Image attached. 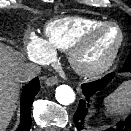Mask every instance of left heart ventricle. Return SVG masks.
Segmentation results:
<instances>
[{"label": "left heart ventricle", "instance_id": "b2bd125f", "mask_svg": "<svg viewBox=\"0 0 131 131\" xmlns=\"http://www.w3.org/2000/svg\"><path fill=\"white\" fill-rule=\"evenodd\" d=\"M119 40V31L108 27L96 35L81 59L85 64H98L104 61L113 51Z\"/></svg>", "mask_w": 131, "mask_h": 131}]
</instances>
